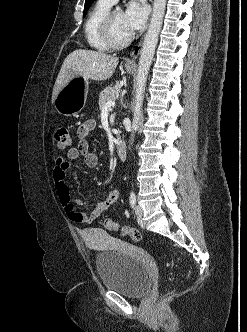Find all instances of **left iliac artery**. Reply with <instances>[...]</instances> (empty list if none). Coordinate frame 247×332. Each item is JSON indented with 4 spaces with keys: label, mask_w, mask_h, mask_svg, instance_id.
<instances>
[{
    "label": "left iliac artery",
    "mask_w": 247,
    "mask_h": 332,
    "mask_svg": "<svg viewBox=\"0 0 247 332\" xmlns=\"http://www.w3.org/2000/svg\"><path fill=\"white\" fill-rule=\"evenodd\" d=\"M129 202L132 207L136 205V195L133 191L130 193Z\"/></svg>",
    "instance_id": "obj_1"
}]
</instances>
